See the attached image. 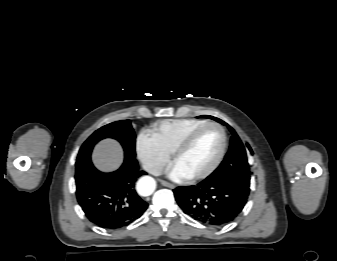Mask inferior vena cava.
Here are the masks:
<instances>
[{
	"label": "inferior vena cava",
	"instance_id": "602c4592",
	"mask_svg": "<svg viewBox=\"0 0 337 261\" xmlns=\"http://www.w3.org/2000/svg\"><path fill=\"white\" fill-rule=\"evenodd\" d=\"M143 169L155 176H159L162 174L163 171V167L161 165L158 164H153V163H144L143 164Z\"/></svg>",
	"mask_w": 337,
	"mask_h": 261
}]
</instances>
